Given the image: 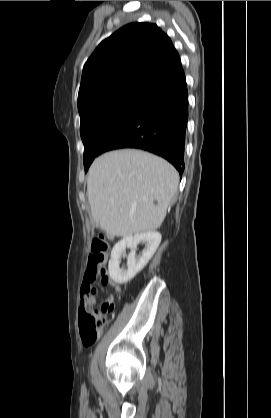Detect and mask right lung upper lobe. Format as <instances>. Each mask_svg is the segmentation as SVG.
<instances>
[{
	"instance_id": "obj_1",
	"label": "right lung upper lobe",
	"mask_w": 271,
	"mask_h": 418,
	"mask_svg": "<svg viewBox=\"0 0 271 418\" xmlns=\"http://www.w3.org/2000/svg\"><path fill=\"white\" fill-rule=\"evenodd\" d=\"M183 75L167 34L155 24L132 23L102 41L85 63L78 109L122 94L152 100Z\"/></svg>"
}]
</instances>
